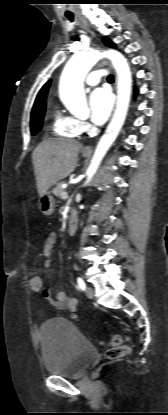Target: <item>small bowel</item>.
Segmentation results:
<instances>
[{
    "label": "small bowel",
    "mask_w": 168,
    "mask_h": 415,
    "mask_svg": "<svg viewBox=\"0 0 168 415\" xmlns=\"http://www.w3.org/2000/svg\"><path fill=\"white\" fill-rule=\"evenodd\" d=\"M57 236L55 233H50L47 238L45 239L42 245V252L44 256L47 258L44 263L43 267L45 269H49L51 267V256L53 253V248L56 243ZM30 281V280H29ZM42 282V281H41ZM43 285V282H42ZM42 294L44 298L49 302V304L57 309L61 310H69L75 311L77 308V299L67 295L64 291H59L55 295H52L50 289L42 288Z\"/></svg>",
    "instance_id": "small-bowel-1"
}]
</instances>
